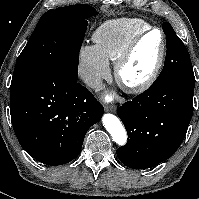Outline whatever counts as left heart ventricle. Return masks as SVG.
<instances>
[{"label": "left heart ventricle", "instance_id": "obj_1", "mask_svg": "<svg viewBox=\"0 0 199 199\" xmlns=\"http://www.w3.org/2000/svg\"><path fill=\"white\" fill-rule=\"evenodd\" d=\"M161 42V35L153 32L138 44L122 70L126 82H140L151 73L161 51Z\"/></svg>", "mask_w": 199, "mask_h": 199}]
</instances>
